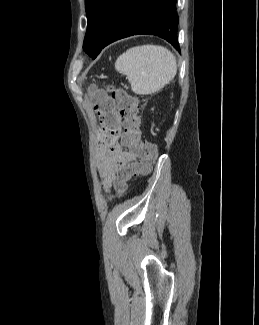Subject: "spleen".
<instances>
[{
  "label": "spleen",
  "mask_w": 259,
  "mask_h": 325,
  "mask_svg": "<svg viewBox=\"0 0 259 325\" xmlns=\"http://www.w3.org/2000/svg\"><path fill=\"white\" fill-rule=\"evenodd\" d=\"M115 69L126 76L134 93L147 95L159 91L175 77L177 63L166 47L146 44L121 54Z\"/></svg>",
  "instance_id": "1"
}]
</instances>
